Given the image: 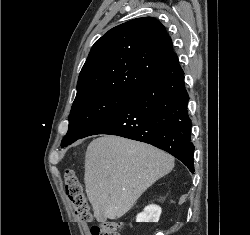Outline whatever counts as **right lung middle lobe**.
Instances as JSON below:
<instances>
[{
    "instance_id": "right-lung-middle-lobe-1",
    "label": "right lung middle lobe",
    "mask_w": 250,
    "mask_h": 235,
    "mask_svg": "<svg viewBox=\"0 0 250 235\" xmlns=\"http://www.w3.org/2000/svg\"><path fill=\"white\" fill-rule=\"evenodd\" d=\"M133 93L94 92L75 99L69 115V129L61 146L80 139L92 127L118 110Z\"/></svg>"
}]
</instances>
